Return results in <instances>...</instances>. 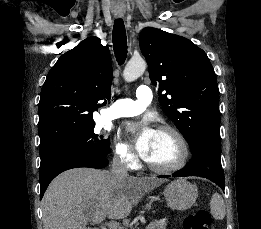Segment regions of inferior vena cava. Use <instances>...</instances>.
I'll return each instance as SVG.
<instances>
[{
	"label": "inferior vena cava",
	"mask_w": 261,
	"mask_h": 229,
	"mask_svg": "<svg viewBox=\"0 0 261 229\" xmlns=\"http://www.w3.org/2000/svg\"><path fill=\"white\" fill-rule=\"evenodd\" d=\"M111 173L115 175V177H128L127 173V163L125 159H120V157H114L112 163Z\"/></svg>",
	"instance_id": "inferior-vena-cava-1"
}]
</instances>
